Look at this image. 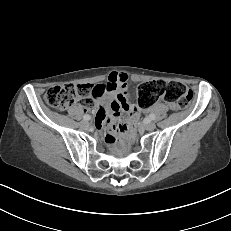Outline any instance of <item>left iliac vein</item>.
Instances as JSON below:
<instances>
[{"instance_id": "obj_1", "label": "left iliac vein", "mask_w": 231, "mask_h": 231, "mask_svg": "<svg viewBox=\"0 0 231 231\" xmlns=\"http://www.w3.org/2000/svg\"><path fill=\"white\" fill-rule=\"evenodd\" d=\"M156 128V124L153 122H149L145 125V129L148 131H153Z\"/></svg>"}]
</instances>
